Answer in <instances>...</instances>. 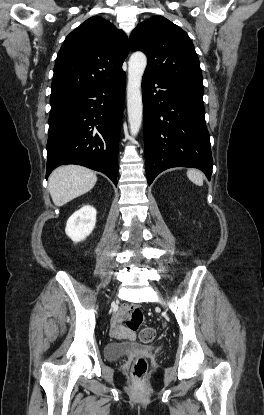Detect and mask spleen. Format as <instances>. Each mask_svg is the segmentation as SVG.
Wrapping results in <instances>:
<instances>
[{
    "instance_id": "3e777b00",
    "label": "spleen",
    "mask_w": 264,
    "mask_h": 415,
    "mask_svg": "<svg viewBox=\"0 0 264 415\" xmlns=\"http://www.w3.org/2000/svg\"><path fill=\"white\" fill-rule=\"evenodd\" d=\"M187 176L189 180H191L196 185H199V186L203 185V175L200 171L195 170V169H189L187 171Z\"/></svg>"
}]
</instances>
